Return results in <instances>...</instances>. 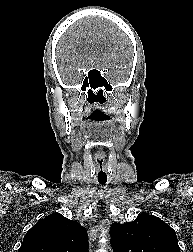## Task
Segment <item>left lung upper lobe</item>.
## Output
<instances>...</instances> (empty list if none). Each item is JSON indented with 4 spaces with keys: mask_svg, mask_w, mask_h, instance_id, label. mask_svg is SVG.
Masks as SVG:
<instances>
[{
    "mask_svg": "<svg viewBox=\"0 0 193 252\" xmlns=\"http://www.w3.org/2000/svg\"><path fill=\"white\" fill-rule=\"evenodd\" d=\"M110 234L114 252H180L175 231L147 213L132 222L113 223Z\"/></svg>",
    "mask_w": 193,
    "mask_h": 252,
    "instance_id": "left-lung-upper-lobe-1",
    "label": "left lung upper lobe"
}]
</instances>
